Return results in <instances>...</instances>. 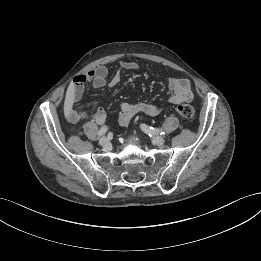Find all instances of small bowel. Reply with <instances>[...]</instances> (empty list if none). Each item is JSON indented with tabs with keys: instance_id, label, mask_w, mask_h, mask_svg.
<instances>
[{
	"instance_id": "small-bowel-1",
	"label": "small bowel",
	"mask_w": 261,
	"mask_h": 261,
	"mask_svg": "<svg viewBox=\"0 0 261 261\" xmlns=\"http://www.w3.org/2000/svg\"><path fill=\"white\" fill-rule=\"evenodd\" d=\"M139 65L133 61H123L120 63L116 73L107 81L108 70L105 66H98L85 74H81L74 78L73 83L67 91V103L69 105L68 118L71 123H77L78 117L74 110V105L80 101L83 96L85 85L92 83L95 88H112L116 86L121 78L124 70H138ZM168 88L171 91L170 97L167 99L168 103L181 104L191 102L193 93L191 84L188 79L172 77L168 79ZM164 108V104H150V103H129L121 104L117 113L118 122L122 126L129 124L131 119L137 114H145L147 116H155L159 114ZM109 119V114L102 108H97L94 113V121L99 125L105 124Z\"/></svg>"
}]
</instances>
